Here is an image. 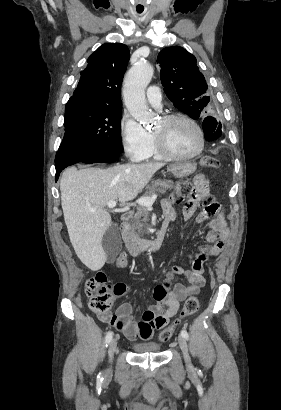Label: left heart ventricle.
<instances>
[{
	"instance_id": "1",
	"label": "left heart ventricle",
	"mask_w": 281,
	"mask_h": 410,
	"mask_svg": "<svg viewBox=\"0 0 281 410\" xmlns=\"http://www.w3.org/2000/svg\"><path fill=\"white\" fill-rule=\"evenodd\" d=\"M153 132L162 137L169 149L176 154L188 155L199 147L196 129L185 120L179 119L168 124L160 120Z\"/></svg>"
}]
</instances>
